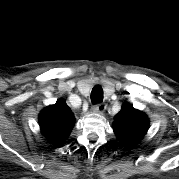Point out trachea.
<instances>
[{
	"instance_id": "1",
	"label": "trachea",
	"mask_w": 179,
	"mask_h": 179,
	"mask_svg": "<svg viewBox=\"0 0 179 179\" xmlns=\"http://www.w3.org/2000/svg\"><path fill=\"white\" fill-rule=\"evenodd\" d=\"M90 98L92 104H98L103 101V89L100 85L93 87Z\"/></svg>"
}]
</instances>
